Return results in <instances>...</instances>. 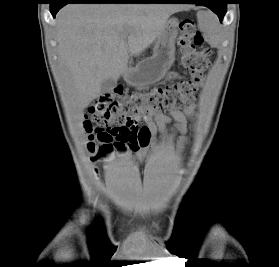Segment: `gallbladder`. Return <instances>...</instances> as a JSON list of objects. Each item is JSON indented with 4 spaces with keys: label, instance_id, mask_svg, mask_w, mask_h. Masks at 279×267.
<instances>
[{
    "label": "gallbladder",
    "instance_id": "gallbladder-1",
    "mask_svg": "<svg viewBox=\"0 0 279 267\" xmlns=\"http://www.w3.org/2000/svg\"><path fill=\"white\" fill-rule=\"evenodd\" d=\"M116 86V80L112 77H109L101 83V93L112 92Z\"/></svg>",
    "mask_w": 279,
    "mask_h": 267
}]
</instances>
